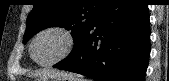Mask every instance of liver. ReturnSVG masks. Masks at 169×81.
Listing matches in <instances>:
<instances>
[{
	"label": "liver",
	"mask_w": 169,
	"mask_h": 81,
	"mask_svg": "<svg viewBox=\"0 0 169 81\" xmlns=\"http://www.w3.org/2000/svg\"><path fill=\"white\" fill-rule=\"evenodd\" d=\"M50 75H62L64 76L62 73L57 72V71H40V72H36L33 74L34 77H46V76H50Z\"/></svg>",
	"instance_id": "6515ba94"
}]
</instances>
